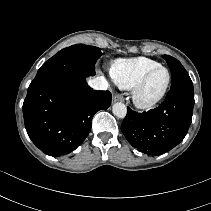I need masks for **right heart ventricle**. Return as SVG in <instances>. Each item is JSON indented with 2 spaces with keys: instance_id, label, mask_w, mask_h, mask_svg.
<instances>
[{
  "instance_id": "1",
  "label": "right heart ventricle",
  "mask_w": 211,
  "mask_h": 211,
  "mask_svg": "<svg viewBox=\"0 0 211 211\" xmlns=\"http://www.w3.org/2000/svg\"><path fill=\"white\" fill-rule=\"evenodd\" d=\"M158 65L157 61L147 57L121 59L112 65L110 74L119 88L133 89L147 71Z\"/></svg>"
}]
</instances>
